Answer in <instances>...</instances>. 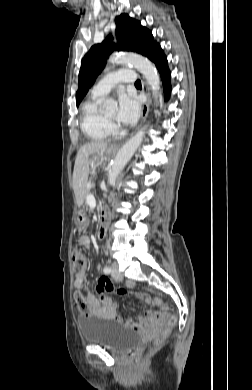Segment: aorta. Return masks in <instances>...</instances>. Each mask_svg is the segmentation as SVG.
Returning a JSON list of instances; mask_svg holds the SVG:
<instances>
[{"label":"aorta","mask_w":252,"mask_h":390,"mask_svg":"<svg viewBox=\"0 0 252 390\" xmlns=\"http://www.w3.org/2000/svg\"><path fill=\"white\" fill-rule=\"evenodd\" d=\"M114 63H122V64H130L134 66L140 73L143 74L147 83L149 84L153 96L156 99L158 91L160 89V79L154 65L145 57L127 53V54H119L113 55L109 59ZM116 106V102L113 100H106L103 104V108H113ZM147 125L142 127L128 142H126L122 148L119 150L116 158L114 159L111 170L108 174V183L110 185L114 184L118 175L123 170L127 162L131 159L136 149L140 146L143 137L145 136V129Z\"/></svg>","instance_id":"obj_1"}]
</instances>
